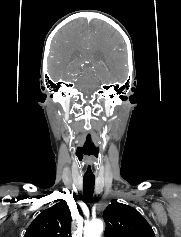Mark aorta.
<instances>
[{
  "label": "aorta",
  "mask_w": 181,
  "mask_h": 237,
  "mask_svg": "<svg viewBox=\"0 0 181 237\" xmlns=\"http://www.w3.org/2000/svg\"><path fill=\"white\" fill-rule=\"evenodd\" d=\"M103 232V222L93 220L84 227V237H100Z\"/></svg>",
  "instance_id": "aorta-1"
}]
</instances>
